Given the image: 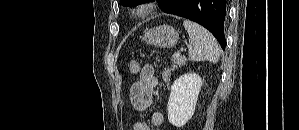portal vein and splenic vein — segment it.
<instances>
[{
	"label": "portal vein and splenic vein",
	"instance_id": "obj_1",
	"mask_svg": "<svg viewBox=\"0 0 299 130\" xmlns=\"http://www.w3.org/2000/svg\"><path fill=\"white\" fill-rule=\"evenodd\" d=\"M176 57H179L180 56V54L177 52V53H175L174 54Z\"/></svg>",
	"mask_w": 299,
	"mask_h": 130
}]
</instances>
